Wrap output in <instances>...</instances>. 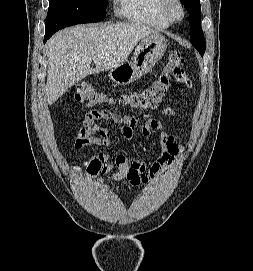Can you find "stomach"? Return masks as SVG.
<instances>
[{"instance_id":"stomach-1","label":"stomach","mask_w":253,"mask_h":271,"mask_svg":"<svg viewBox=\"0 0 253 271\" xmlns=\"http://www.w3.org/2000/svg\"><path fill=\"white\" fill-rule=\"evenodd\" d=\"M167 40L160 33L144 37L137 46L132 61H125L109 72L110 79L118 85H128L143 75L162 58Z\"/></svg>"}]
</instances>
